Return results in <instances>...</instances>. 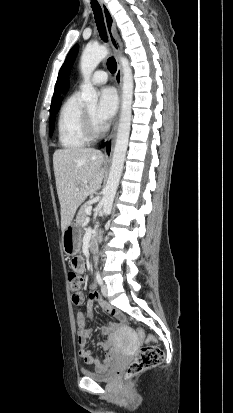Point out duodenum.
I'll return each instance as SVG.
<instances>
[{"mask_svg":"<svg viewBox=\"0 0 233 413\" xmlns=\"http://www.w3.org/2000/svg\"><path fill=\"white\" fill-rule=\"evenodd\" d=\"M95 245H96V239L92 237L89 241V248L94 249Z\"/></svg>","mask_w":233,"mask_h":413,"instance_id":"1","label":"duodenum"}]
</instances>
